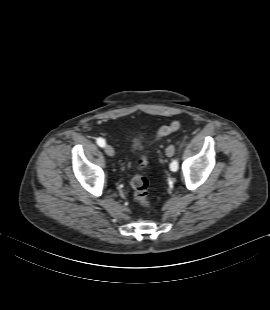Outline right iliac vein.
Here are the masks:
<instances>
[{
    "label": "right iliac vein",
    "mask_w": 270,
    "mask_h": 310,
    "mask_svg": "<svg viewBox=\"0 0 270 310\" xmlns=\"http://www.w3.org/2000/svg\"><path fill=\"white\" fill-rule=\"evenodd\" d=\"M104 151L110 157L114 156V154H115L113 147L110 146V145H105L104 146Z\"/></svg>",
    "instance_id": "1"
}]
</instances>
